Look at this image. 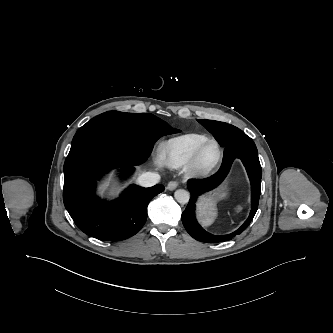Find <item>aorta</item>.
<instances>
[{
    "label": "aorta",
    "instance_id": "1",
    "mask_svg": "<svg viewBox=\"0 0 333 333\" xmlns=\"http://www.w3.org/2000/svg\"><path fill=\"white\" fill-rule=\"evenodd\" d=\"M174 197L179 204H186L190 199V194L184 189H178L175 191Z\"/></svg>",
    "mask_w": 333,
    "mask_h": 333
}]
</instances>
